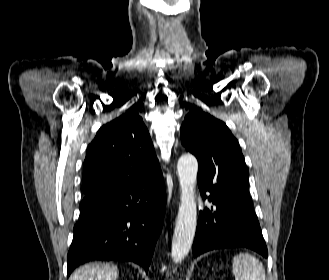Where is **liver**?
<instances>
[{"instance_id": "6515ba94", "label": "liver", "mask_w": 329, "mask_h": 280, "mask_svg": "<svg viewBox=\"0 0 329 280\" xmlns=\"http://www.w3.org/2000/svg\"><path fill=\"white\" fill-rule=\"evenodd\" d=\"M118 269L108 263H90L84 265L69 280H116Z\"/></svg>"}]
</instances>
